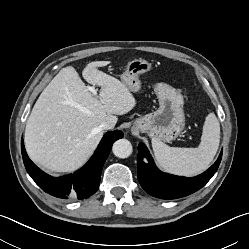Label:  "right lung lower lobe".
Listing matches in <instances>:
<instances>
[{
	"label": "right lung lower lobe",
	"mask_w": 249,
	"mask_h": 249,
	"mask_svg": "<svg viewBox=\"0 0 249 249\" xmlns=\"http://www.w3.org/2000/svg\"><path fill=\"white\" fill-rule=\"evenodd\" d=\"M122 137L123 132L120 130L106 133L83 168L74 174L59 178L45 174L29 159L23 140L21 141L22 157L28 174L43 191L63 199H84L97 191L102 167L111 151L112 144Z\"/></svg>",
	"instance_id": "98d812e1"
}]
</instances>
